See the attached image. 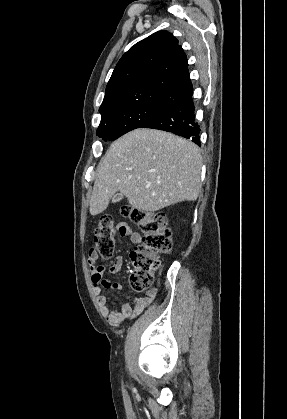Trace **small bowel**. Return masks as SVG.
I'll return each mask as SVG.
<instances>
[{"label":"small bowel","mask_w":287,"mask_h":419,"mask_svg":"<svg viewBox=\"0 0 287 419\" xmlns=\"http://www.w3.org/2000/svg\"><path fill=\"white\" fill-rule=\"evenodd\" d=\"M118 229L122 236L129 237L133 243H139L141 241L140 234L135 232L128 224L120 223ZM122 262V256L119 255L115 258L113 264L106 269L104 266L98 265L97 255L94 251L91 252L88 259L97 303L103 316L113 325L140 315L153 302L156 296L153 291L148 292L144 297L129 296L128 301L123 303L119 308L111 309L107 304L106 296L102 293V288L121 290L123 286L119 282H112L106 279L105 274L116 273L120 269Z\"/></svg>","instance_id":"c3829d8e"}]
</instances>
